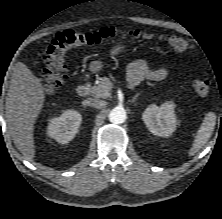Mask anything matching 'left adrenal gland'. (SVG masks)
<instances>
[{
    "mask_svg": "<svg viewBox=\"0 0 222 219\" xmlns=\"http://www.w3.org/2000/svg\"><path fill=\"white\" fill-rule=\"evenodd\" d=\"M138 96H139V93H137V94L133 97V99L131 100V102L134 103V102L136 101V99H137Z\"/></svg>",
    "mask_w": 222,
    "mask_h": 219,
    "instance_id": "a2214340",
    "label": "left adrenal gland"
}]
</instances>
